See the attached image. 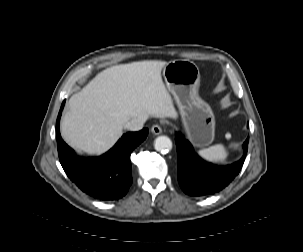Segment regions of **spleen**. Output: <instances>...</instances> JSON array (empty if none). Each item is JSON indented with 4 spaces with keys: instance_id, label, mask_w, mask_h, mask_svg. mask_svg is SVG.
I'll return each instance as SVG.
<instances>
[{
    "instance_id": "obj_1",
    "label": "spleen",
    "mask_w": 303,
    "mask_h": 252,
    "mask_svg": "<svg viewBox=\"0 0 303 252\" xmlns=\"http://www.w3.org/2000/svg\"><path fill=\"white\" fill-rule=\"evenodd\" d=\"M199 155L211 162H223L227 159L228 153L222 144H216L198 151Z\"/></svg>"
}]
</instances>
